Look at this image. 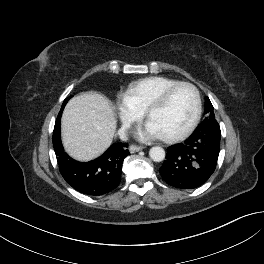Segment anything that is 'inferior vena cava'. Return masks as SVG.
Segmentation results:
<instances>
[{"instance_id": "inferior-vena-cava-1", "label": "inferior vena cava", "mask_w": 264, "mask_h": 264, "mask_svg": "<svg viewBox=\"0 0 264 264\" xmlns=\"http://www.w3.org/2000/svg\"><path fill=\"white\" fill-rule=\"evenodd\" d=\"M130 127V124H124L121 129L118 132L119 137L123 140L126 141L128 140L127 137V129Z\"/></svg>"}]
</instances>
